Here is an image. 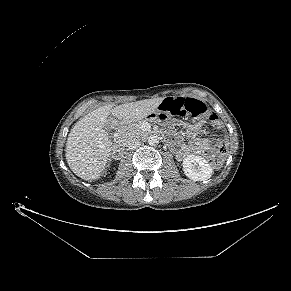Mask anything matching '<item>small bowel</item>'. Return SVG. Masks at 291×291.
Wrapping results in <instances>:
<instances>
[{
	"mask_svg": "<svg viewBox=\"0 0 291 291\" xmlns=\"http://www.w3.org/2000/svg\"><path fill=\"white\" fill-rule=\"evenodd\" d=\"M174 124L175 125H182V123L178 120L174 121ZM202 126H203V122L199 121L193 127V129L195 131H199V130H201ZM191 152L200 154L209 160H212L215 157L214 148L208 139H197L191 145L183 146L179 150L180 155H185V154H188Z\"/></svg>",
	"mask_w": 291,
	"mask_h": 291,
	"instance_id": "1",
	"label": "small bowel"
}]
</instances>
